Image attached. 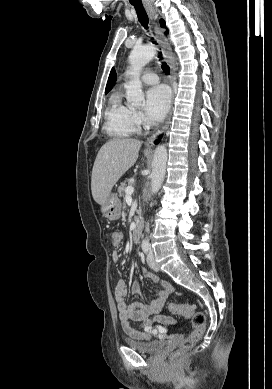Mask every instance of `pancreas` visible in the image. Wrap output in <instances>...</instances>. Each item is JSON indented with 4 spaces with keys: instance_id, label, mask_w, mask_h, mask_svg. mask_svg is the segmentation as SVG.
Instances as JSON below:
<instances>
[{
    "instance_id": "pancreas-1",
    "label": "pancreas",
    "mask_w": 272,
    "mask_h": 389,
    "mask_svg": "<svg viewBox=\"0 0 272 389\" xmlns=\"http://www.w3.org/2000/svg\"><path fill=\"white\" fill-rule=\"evenodd\" d=\"M126 182L130 186H132L134 184V182L131 179H127L125 182L121 183V185L119 186L118 192H119V195L122 197H124V194H125Z\"/></svg>"
}]
</instances>
